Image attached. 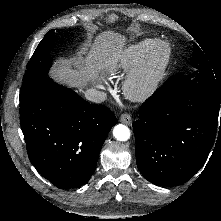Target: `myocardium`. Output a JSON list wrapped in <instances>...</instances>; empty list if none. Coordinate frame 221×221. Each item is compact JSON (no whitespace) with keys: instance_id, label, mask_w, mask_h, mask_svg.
<instances>
[{"instance_id":"f54148a6","label":"myocardium","mask_w":221,"mask_h":221,"mask_svg":"<svg viewBox=\"0 0 221 221\" xmlns=\"http://www.w3.org/2000/svg\"><path fill=\"white\" fill-rule=\"evenodd\" d=\"M171 57L168 43L156 41L143 62L132 71L124 83L126 96L133 101L150 97L162 81Z\"/></svg>"}]
</instances>
